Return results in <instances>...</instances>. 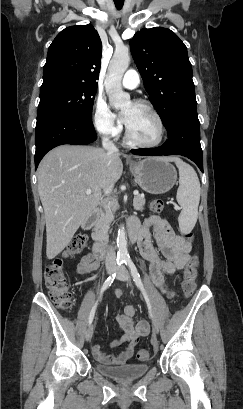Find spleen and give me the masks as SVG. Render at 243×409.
Masks as SVG:
<instances>
[{"label":"spleen","instance_id":"spleen-1","mask_svg":"<svg viewBox=\"0 0 243 409\" xmlns=\"http://www.w3.org/2000/svg\"><path fill=\"white\" fill-rule=\"evenodd\" d=\"M179 170V187L176 199L182 211L178 217L179 227L183 233H189L194 228L198 218L200 201V182L195 170L179 158H174Z\"/></svg>","mask_w":243,"mask_h":409}]
</instances>
